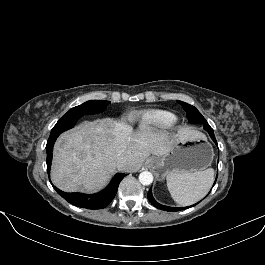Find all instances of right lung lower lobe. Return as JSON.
I'll use <instances>...</instances> for the list:
<instances>
[{"label":"right lung lower lobe","instance_id":"right-lung-lower-lobe-1","mask_svg":"<svg viewBox=\"0 0 265 265\" xmlns=\"http://www.w3.org/2000/svg\"><path fill=\"white\" fill-rule=\"evenodd\" d=\"M78 119L79 118H70L64 123H57L51 130V134L49 136L46 145V151H47L46 163H47L48 175L50 173L53 146L57 137L62 132L72 128ZM124 176H125L124 173H117L113 177L110 184L104 190L92 195L83 194V193H66L59 190L55 186L53 187L60 196H62L67 202L71 203L72 205L87 209H102L106 207L113 200L118 190L119 183L124 178Z\"/></svg>","mask_w":265,"mask_h":265}]
</instances>
